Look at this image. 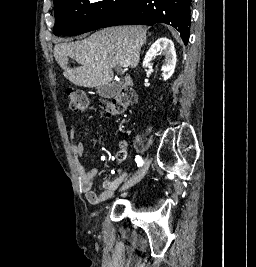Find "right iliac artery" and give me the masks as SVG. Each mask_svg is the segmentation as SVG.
Returning <instances> with one entry per match:
<instances>
[{
	"mask_svg": "<svg viewBox=\"0 0 256 267\" xmlns=\"http://www.w3.org/2000/svg\"><path fill=\"white\" fill-rule=\"evenodd\" d=\"M135 160H136L139 167H141L143 165V160L139 155L136 156Z\"/></svg>",
	"mask_w": 256,
	"mask_h": 267,
	"instance_id": "obj_1",
	"label": "right iliac artery"
}]
</instances>
